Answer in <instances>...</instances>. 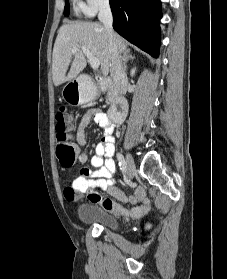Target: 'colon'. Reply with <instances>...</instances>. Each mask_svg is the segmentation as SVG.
<instances>
[{
  "label": "colon",
  "instance_id": "obj_1",
  "mask_svg": "<svg viewBox=\"0 0 227 279\" xmlns=\"http://www.w3.org/2000/svg\"><path fill=\"white\" fill-rule=\"evenodd\" d=\"M70 114L64 106L59 107L56 113V155L63 167L72 166L77 158L78 149L72 144L68 137V126L70 124ZM99 197V194H94L91 198Z\"/></svg>",
  "mask_w": 227,
  "mask_h": 279
}]
</instances>
